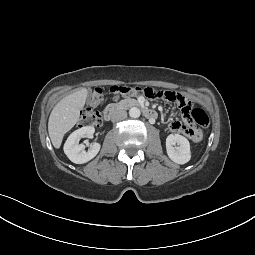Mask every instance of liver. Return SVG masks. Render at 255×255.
<instances>
[{"instance_id":"1","label":"liver","mask_w":255,"mask_h":255,"mask_svg":"<svg viewBox=\"0 0 255 255\" xmlns=\"http://www.w3.org/2000/svg\"><path fill=\"white\" fill-rule=\"evenodd\" d=\"M86 90L82 89L61 99L53 108L48 121V132L55 148H60L64 135L77 123L85 105Z\"/></svg>"}]
</instances>
